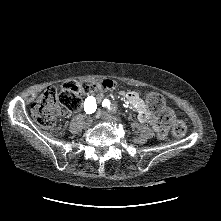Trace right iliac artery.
Masks as SVG:
<instances>
[{
    "mask_svg": "<svg viewBox=\"0 0 221 221\" xmlns=\"http://www.w3.org/2000/svg\"><path fill=\"white\" fill-rule=\"evenodd\" d=\"M97 104L94 97H88L84 103V110L87 114H92L96 111Z\"/></svg>",
    "mask_w": 221,
    "mask_h": 221,
    "instance_id": "right-iliac-artery-1",
    "label": "right iliac artery"
}]
</instances>
